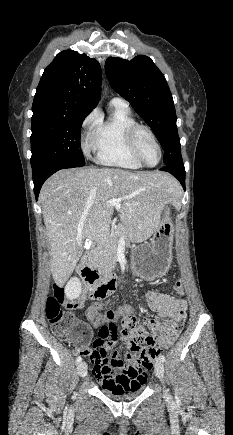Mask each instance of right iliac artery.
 Instances as JSON below:
<instances>
[{"instance_id":"82829eb1","label":"right iliac artery","mask_w":233,"mask_h":435,"mask_svg":"<svg viewBox=\"0 0 233 435\" xmlns=\"http://www.w3.org/2000/svg\"><path fill=\"white\" fill-rule=\"evenodd\" d=\"M82 361V358L80 357V356H78L77 358H76V363L78 364V363H80Z\"/></svg>"}]
</instances>
